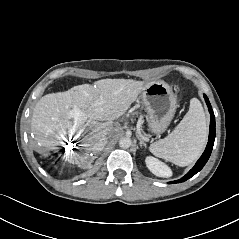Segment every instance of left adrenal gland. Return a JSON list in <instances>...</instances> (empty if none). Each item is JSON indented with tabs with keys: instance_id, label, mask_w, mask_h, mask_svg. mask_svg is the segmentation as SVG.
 I'll return each mask as SVG.
<instances>
[{
	"instance_id": "left-adrenal-gland-1",
	"label": "left adrenal gland",
	"mask_w": 239,
	"mask_h": 239,
	"mask_svg": "<svg viewBox=\"0 0 239 239\" xmlns=\"http://www.w3.org/2000/svg\"><path fill=\"white\" fill-rule=\"evenodd\" d=\"M136 136H137V138H138V140H139L140 146H141V147L144 146L145 148H147V145H146V143L144 142V140H143V138L141 137V135H140V134H137Z\"/></svg>"
}]
</instances>
